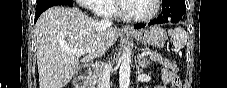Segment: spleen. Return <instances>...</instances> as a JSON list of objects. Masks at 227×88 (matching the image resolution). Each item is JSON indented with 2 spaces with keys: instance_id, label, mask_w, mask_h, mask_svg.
I'll return each mask as SVG.
<instances>
[{
  "instance_id": "obj_1",
  "label": "spleen",
  "mask_w": 227,
  "mask_h": 88,
  "mask_svg": "<svg viewBox=\"0 0 227 88\" xmlns=\"http://www.w3.org/2000/svg\"><path fill=\"white\" fill-rule=\"evenodd\" d=\"M168 34L171 37V42L175 50L183 49L186 46L188 34L183 28L177 27L175 29H169Z\"/></svg>"
}]
</instances>
